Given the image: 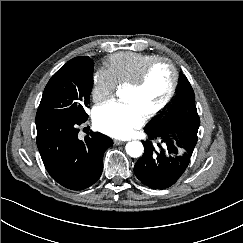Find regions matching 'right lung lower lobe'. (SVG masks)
I'll use <instances>...</instances> for the list:
<instances>
[{
	"label": "right lung lower lobe",
	"mask_w": 243,
	"mask_h": 243,
	"mask_svg": "<svg viewBox=\"0 0 243 243\" xmlns=\"http://www.w3.org/2000/svg\"><path fill=\"white\" fill-rule=\"evenodd\" d=\"M86 120L36 117L37 147L45 168L71 190L85 189L100 178L104 152L112 145L110 138L92 131L84 141L79 140L78 125Z\"/></svg>",
	"instance_id": "obj_1"
}]
</instances>
